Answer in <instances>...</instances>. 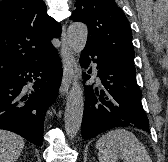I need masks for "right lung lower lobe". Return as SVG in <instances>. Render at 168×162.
I'll list each match as a JSON object with an SVG mask.
<instances>
[{"instance_id":"right-lung-lower-lobe-1","label":"right lung lower lobe","mask_w":168,"mask_h":162,"mask_svg":"<svg viewBox=\"0 0 168 162\" xmlns=\"http://www.w3.org/2000/svg\"><path fill=\"white\" fill-rule=\"evenodd\" d=\"M62 66L56 50L0 77V129L13 131L41 146L47 107L58 94ZM33 82L26 92L24 86Z\"/></svg>"}]
</instances>
